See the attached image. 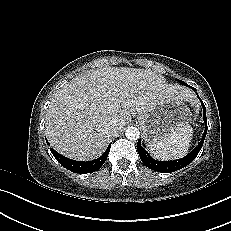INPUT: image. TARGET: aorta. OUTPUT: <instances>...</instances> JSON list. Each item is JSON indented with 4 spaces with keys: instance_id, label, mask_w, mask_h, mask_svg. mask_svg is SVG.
Instances as JSON below:
<instances>
[{
    "instance_id": "1",
    "label": "aorta",
    "mask_w": 231,
    "mask_h": 231,
    "mask_svg": "<svg viewBox=\"0 0 231 231\" xmlns=\"http://www.w3.org/2000/svg\"><path fill=\"white\" fill-rule=\"evenodd\" d=\"M125 136L129 140H137L140 136V132L136 127H128L125 131Z\"/></svg>"
}]
</instances>
